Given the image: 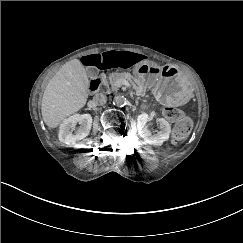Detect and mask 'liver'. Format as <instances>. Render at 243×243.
Masks as SVG:
<instances>
[{
  "instance_id": "liver-1",
  "label": "liver",
  "mask_w": 243,
  "mask_h": 243,
  "mask_svg": "<svg viewBox=\"0 0 243 243\" xmlns=\"http://www.w3.org/2000/svg\"><path fill=\"white\" fill-rule=\"evenodd\" d=\"M89 80L80 60L62 66L47 84L42 98V117L50 128L82 108L87 100Z\"/></svg>"
}]
</instances>
